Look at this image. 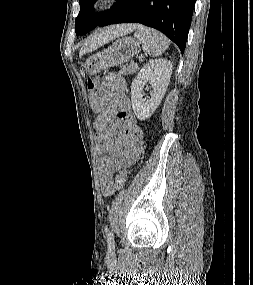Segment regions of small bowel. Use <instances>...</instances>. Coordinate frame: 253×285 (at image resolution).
<instances>
[{
    "label": "small bowel",
    "instance_id": "1",
    "mask_svg": "<svg viewBox=\"0 0 253 285\" xmlns=\"http://www.w3.org/2000/svg\"><path fill=\"white\" fill-rule=\"evenodd\" d=\"M91 107L96 113L100 187L104 196H110L115 191L113 174L137 162L143 152L142 129L131 111L125 80L118 74L105 77Z\"/></svg>",
    "mask_w": 253,
    "mask_h": 285
}]
</instances>
